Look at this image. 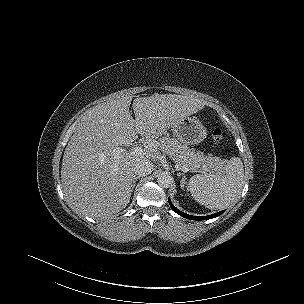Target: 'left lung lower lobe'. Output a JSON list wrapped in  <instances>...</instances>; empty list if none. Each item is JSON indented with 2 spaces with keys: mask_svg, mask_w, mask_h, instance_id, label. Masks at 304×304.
<instances>
[{
  "mask_svg": "<svg viewBox=\"0 0 304 304\" xmlns=\"http://www.w3.org/2000/svg\"><path fill=\"white\" fill-rule=\"evenodd\" d=\"M169 205L170 207L172 208V210L174 212H176L177 214L187 218V219H191V220H207V219H212V218H215V217H218L219 215H221L223 211H220V212H217L215 214H212V215H208V216H192V215H188V214H185L184 212L178 210L174 205H172L170 199H169Z\"/></svg>",
  "mask_w": 304,
  "mask_h": 304,
  "instance_id": "obj_1",
  "label": "left lung lower lobe"
}]
</instances>
